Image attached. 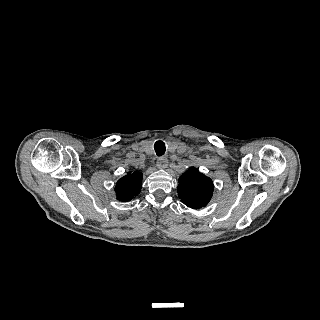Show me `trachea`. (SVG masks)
Listing matches in <instances>:
<instances>
[{"mask_svg":"<svg viewBox=\"0 0 320 320\" xmlns=\"http://www.w3.org/2000/svg\"><path fill=\"white\" fill-rule=\"evenodd\" d=\"M154 149H155L157 156L160 157V156L164 155V153L166 151L165 143L161 140L156 141L154 144Z\"/></svg>","mask_w":320,"mask_h":320,"instance_id":"3493384b","label":"trachea"}]
</instances>
